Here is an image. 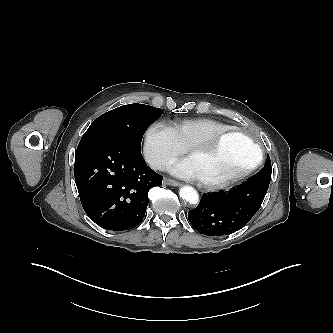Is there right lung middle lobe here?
Returning a JSON list of instances; mask_svg holds the SVG:
<instances>
[{
    "label": "right lung middle lobe",
    "mask_w": 333,
    "mask_h": 333,
    "mask_svg": "<svg viewBox=\"0 0 333 333\" xmlns=\"http://www.w3.org/2000/svg\"><path fill=\"white\" fill-rule=\"evenodd\" d=\"M163 110L144 104H129L99 116L84 133L80 142L113 141L141 150L147 127Z\"/></svg>",
    "instance_id": "dd1d6c3e"
}]
</instances>
